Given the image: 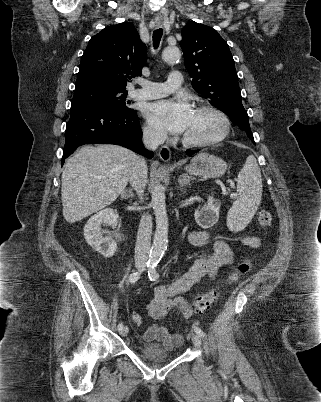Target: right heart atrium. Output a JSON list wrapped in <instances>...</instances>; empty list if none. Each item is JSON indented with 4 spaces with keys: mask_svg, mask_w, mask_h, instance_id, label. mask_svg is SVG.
Instances as JSON below:
<instances>
[{
    "mask_svg": "<svg viewBox=\"0 0 321 402\" xmlns=\"http://www.w3.org/2000/svg\"><path fill=\"white\" fill-rule=\"evenodd\" d=\"M144 133H145V136L147 137V139L152 142L159 141L164 138V135L161 132L153 129L150 126H146L144 128Z\"/></svg>",
    "mask_w": 321,
    "mask_h": 402,
    "instance_id": "obj_1",
    "label": "right heart atrium"
}]
</instances>
